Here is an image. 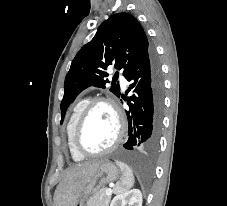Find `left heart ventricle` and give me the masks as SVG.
<instances>
[{
	"mask_svg": "<svg viewBox=\"0 0 227 206\" xmlns=\"http://www.w3.org/2000/svg\"><path fill=\"white\" fill-rule=\"evenodd\" d=\"M117 120L113 110L105 104L96 106L89 114L80 141L88 151L97 152L110 146L117 135Z\"/></svg>",
	"mask_w": 227,
	"mask_h": 206,
	"instance_id": "left-heart-ventricle-1",
	"label": "left heart ventricle"
}]
</instances>
